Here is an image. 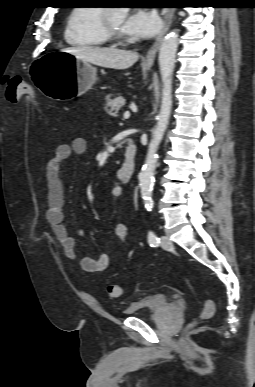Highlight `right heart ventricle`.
<instances>
[{
	"mask_svg": "<svg viewBox=\"0 0 255 387\" xmlns=\"http://www.w3.org/2000/svg\"><path fill=\"white\" fill-rule=\"evenodd\" d=\"M103 8L96 6H77L69 13L64 38L66 42L78 48H95L107 44L101 29Z\"/></svg>",
	"mask_w": 255,
	"mask_h": 387,
	"instance_id": "e07e8e85",
	"label": "right heart ventricle"
}]
</instances>
